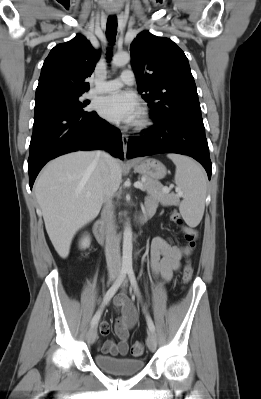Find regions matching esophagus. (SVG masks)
<instances>
[{
	"label": "esophagus",
	"instance_id": "34e87169",
	"mask_svg": "<svg viewBox=\"0 0 261 399\" xmlns=\"http://www.w3.org/2000/svg\"><path fill=\"white\" fill-rule=\"evenodd\" d=\"M122 143H123V151H124V155L126 156L127 154V144H128V136L122 132Z\"/></svg>",
	"mask_w": 261,
	"mask_h": 399
}]
</instances>
